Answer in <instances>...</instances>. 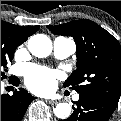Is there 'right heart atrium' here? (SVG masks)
Wrapping results in <instances>:
<instances>
[{
    "instance_id": "obj_1",
    "label": "right heart atrium",
    "mask_w": 121,
    "mask_h": 121,
    "mask_svg": "<svg viewBox=\"0 0 121 121\" xmlns=\"http://www.w3.org/2000/svg\"><path fill=\"white\" fill-rule=\"evenodd\" d=\"M21 52H22V48H21V47H19V48L17 49V51H16V54H17V55H20V54H21Z\"/></svg>"
}]
</instances>
